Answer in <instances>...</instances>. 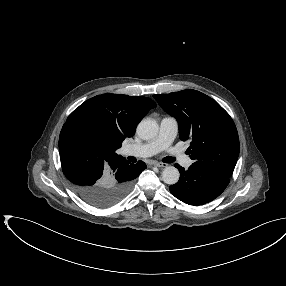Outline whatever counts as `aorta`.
<instances>
[{
    "instance_id": "762f6f07",
    "label": "aorta",
    "mask_w": 286,
    "mask_h": 286,
    "mask_svg": "<svg viewBox=\"0 0 286 286\" xmlns=\"http://www.w3.org/2000/svg\"><path fill=\"white\" fill-rule=\"evenodd\" d=\"M159 126L154 119L145 118L140 121L137 126V134L140 138L148 140L157 136ZM180 174L177 168L174 166L165 167L162 172V180L164 183L173 185L179 180Z\"/></svg>"
}]
</instances>
